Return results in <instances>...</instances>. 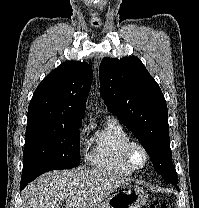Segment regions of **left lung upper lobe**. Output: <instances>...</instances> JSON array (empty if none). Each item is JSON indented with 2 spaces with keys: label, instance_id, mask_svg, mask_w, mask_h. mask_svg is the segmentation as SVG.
I'll list each match as a JSON object with an SVG mask.
<instances>
[{
  "label": "left lung upper lobe",
  "instance_id": "1",
  "mask_svg": "<svg viewBox=\"0 0 199 208\" xmlns=\"http://www.w3.org/2000/svg\"><path fill=\"white\" fill-rule=\"evenodd\" d=\"M100 95L108 110L138 138L167 182L177 179L171 160L168 112L159 85L138 58H103Z\"/></svg>",
  "mask_w": 199,
  "mask_h": 208
}]
</instances>
